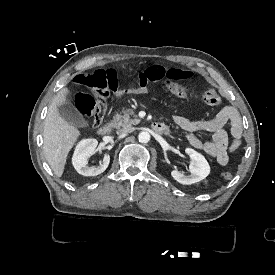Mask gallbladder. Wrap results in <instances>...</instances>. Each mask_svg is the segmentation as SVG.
Here are the masks:
<instances>
[{
  "label": "gallbladder",
  "mask_w": 275,
  "mask_h": 275,
  "mask_svg": "<svg viewBox=\"0 0 275 275\" xmlns=\"http://www.w3.org/2000/svg\"><path fill=\"white\" fill-rule=\"evenodd\" d=\"M59 113L65 121L75 127L83 128L88 126V122L74 105L67 104L59 106Z\"/></svg>",
  "instance_id": "gallbladder-1"
}]
</instances>
